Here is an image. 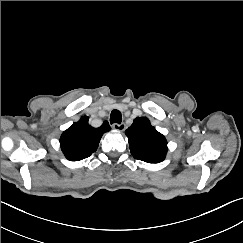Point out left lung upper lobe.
I'll list each match as a JSON object with an SVG mask.
<instances>
[{"instance_id": "5c2ea615", "label": "left lung upper lobe", "mask_w": 243, "mask_h": 243, "mask_svg": "<svg viewBox=\"0 0 243 243\" xmlns=\"http://www.w3.org/2000/svg\"><path fill=\"white\" fill-rule=\"evenodd\" d=\"M125 133L134 158L148 163H159L165 159L167 140L146 117L136 118Z\"/></svg>"}]
</instances>
